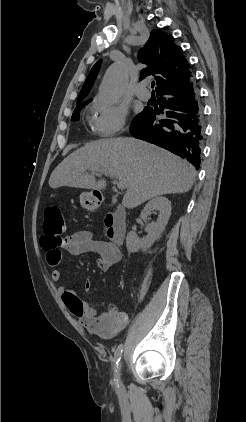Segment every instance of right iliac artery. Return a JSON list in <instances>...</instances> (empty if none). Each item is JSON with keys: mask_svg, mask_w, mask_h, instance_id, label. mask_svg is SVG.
<instances>
[{"mask_svg": "<svg viewBox=\"0 0 246 422\" xmlns=\"http://www.w3.org/2000/svg\"><path fill=\"white\" fill-rule=\"evenodd\" d=\"M122 351H123V345L120 344L118 346V348L116 349L115 355H114V363H115V368H114V384L117 387H119V375H118L117 367H118L119 361L121 359Z\"/></svg>", "mask_w": 246, "mask_h": 422, "instance_id": "right-iliac-artery-1", "label": "right iliac artery"}]
</instances>
